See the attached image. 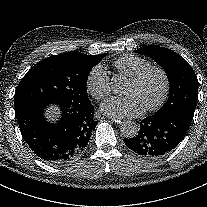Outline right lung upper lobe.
<instances>
[{"mask_svg":"<svg viewBox=\"0 0 207 207\" xmlns=\"http://www.w3.org/2000/svg\"><path fill=\"white\" fill-rule=\"evenodd\" d=\"M71 54H74L76 56H79L83 59H86V60H89V61H93V62H100L104 56H106V54H101V55H86V54H83V53H80V52H69Z\"/></svg>","mask_w":207,"mask_h":207,"instance_id":"obj_1","label":"right lung upper lobe"}]
</instances>
